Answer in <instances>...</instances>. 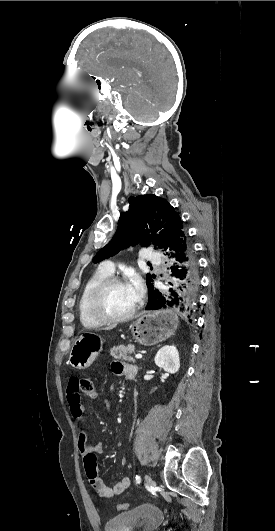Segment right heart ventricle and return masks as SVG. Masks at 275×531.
I'll use <instances>...</instances> for the list:
<instances>
[{
    "instance_id": "right-heart-ventricle-1",
    "label": "right heart ventricle",
    "mask_w": 275,
    "mask_h": 531,
    "mask_svg": "<svg viewBox=\"0 0 275 531\" xmlns=\"http://www.w3.org/2000/svg\"><path fill=\"white\" fill-rule=\"evenodd\" d=\"M111 275V273H107L104 270H100L96 272L85 284L83 287V290L81 292L79 301H78V314L79 319L82 325L89 329H94L102 325L101 322L93 319L90 317V315L87 312V299L92 292V290L95 288V286L101 282L104 278Z\"/></svg>"
}]
</instances>
